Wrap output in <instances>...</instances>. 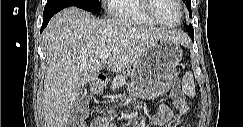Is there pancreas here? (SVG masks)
Here are the masks:
<instances>
[{
  "label": "pancreas",
  "mask_w": 243,
  "mask_h": 127,
  "mask_svg": "<svg viewBox=\"0 0 243 127\" xmlns=\"http://www.w3.org/2000/svg\"><path fill=\"white\" fill-rule=\"evenodd\" d=\"M125 78H126V73L116 76L112 82L111 89L115 91L116 89H119L124 84H126Z\"/></svg>",
  "instance_id": "cf45deb5"
}]
</instances>
